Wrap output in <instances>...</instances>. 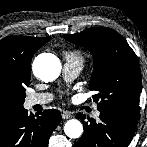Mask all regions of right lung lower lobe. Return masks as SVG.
I'll return each mask as SVG.
<instances>
[{"label": "right lung lower lobe", "instance_id": "obj_1", "mask_svg": "<svg viewBox=\"0 0 147 147\" xmlns=\"http://www.w3.org/2000/svg\"><path fill=\"white\" fill-rule=\"evenodd\" d=\"M61 120L58 110H45L34 117L26 109L0 117V147H47Z\"/></svg>", "mask_w": 147, "mask_h": 147}]
</instances>
